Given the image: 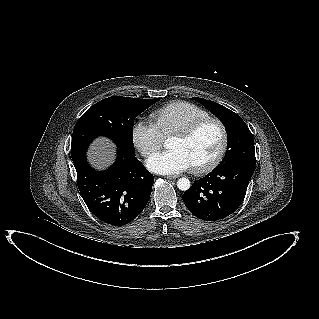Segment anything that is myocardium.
Listing matches in <instances>:
<instances>
[{
	"label": "myocardium",
	"instance_id": "f54148a6",
	"mask_svg": "<svg viewBox=\"0 0 319 319\" xmlns=\"http://www.w3.org/2000/svg\"><path fill=\"white\" fill-rule=\"evenodd\" d=\"M207 124H214L218 127L221 137L220 145L217 153L209 162L202 165L191 166V171L195 174H204L212 171L220 164V162L224 158L228 146V132L226 126L218 118L209 116L202 119H198L186 126L185 128L171 135V138L187 140L191 138L200 128Z\"/></svg>",
	"mask_w": 319,
	"mask_h": 319
}]
</instances>
